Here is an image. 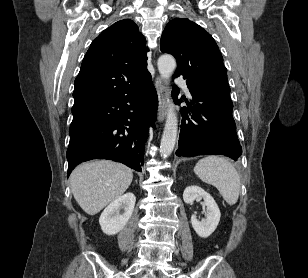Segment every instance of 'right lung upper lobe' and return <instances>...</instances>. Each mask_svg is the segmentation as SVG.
Wrapping results in <instances>:
<instances>
[{"mask_svg":"<svg viewBox=\"0 0 308 278\" xmlns=\"http://www.w3.org/2000/svg\"><path fill=\"white\" fill-rule=\"evenodd\" d=\"M145 43L129 19L104 30L84 56L75 79L72 110L126 95L150 77Z\"/></svg>","mask_w":308,"mask_h":278,"instance_id":"cb5924a9","label":"right lung upper lobe"}]
</instances>
